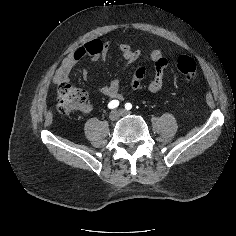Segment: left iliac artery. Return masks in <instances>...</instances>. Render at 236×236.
Wrapping results in <instances>:
<instances>
[{
  "instance_id": "left-iliac-artery-1",
  "label": "left iliac artery",
  "mask_w": 236,
  "mask_h": 236,
  "mask_svg": "<svg viewBox=\"0 0 236 236\" xmlns=\"http://www.w3.org/2000/svg\"><path fill=\"white\" fill-rule=\"evenodd\" d=\"M132 108V104L131 103H126L125 104V109L130 110Z\"/></svg>"
}]
</instances>
